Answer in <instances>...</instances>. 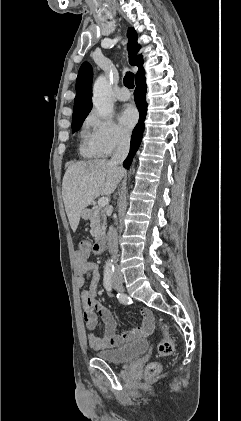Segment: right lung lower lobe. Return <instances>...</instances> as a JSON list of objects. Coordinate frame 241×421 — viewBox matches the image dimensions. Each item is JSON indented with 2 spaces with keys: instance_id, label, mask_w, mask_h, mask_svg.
I'll list each match as a JSON object with an SVG mask.
<instances>
[{
  "instance_id": "1",
  "label": "right lung lower lobe",
  "mask_w": 241,
  "mask_h": 421,
  "mask_svg": "<svg viewBox=\"0 0 241 421\" xmlns=\"http://www.w3.org/2000/svg\"><path fill=\"white\" fill-rule=\"evenodd\" d=\"M136 89L134 92V99L137 105V108L141 114V118L137 123L136 127L133 130L132 137H131V144H130V152L123 162V166L126 169H129V166L132 163V159L139 148L141 143L142 134L144 132V120L147 114V103H146V79H145V72L143 68L138 72L135 79Z\"/></svg>"
}]
</instances>
